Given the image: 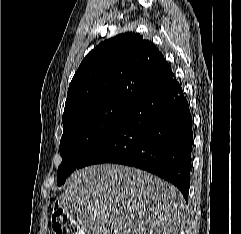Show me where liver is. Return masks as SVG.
I'll list each match as a JSON object with an SVG mask.
<instances>
[{
    "mask_svg": "<svg viewBox=\"0 0 241 234\" xmlns=\"http://www.w3.org/2000/svg\"><path fill=\"white\" fill-rule=\"evenodd\" d=\"M86 234H177L185 219L179 190L132 167L101 164L75 171L59 197Z\"/></svg>",
    "mask_w": 241,
    "mask_h": 234,
    "instance_id": "1",
    "label": "liver"
}]
</instances>
